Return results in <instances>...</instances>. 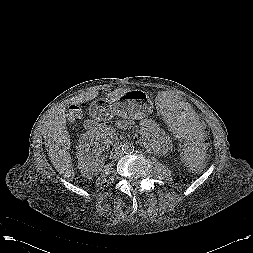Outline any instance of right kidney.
<instances>
[{"instance_id":"obj_1","label":"right kidney","mask_w":253,"mask_h":253,"mask_svg":"<svg viewBox=\"0 0 253 253\" xmlns=\"http://www.w3.org/2000/svg\"><path fill=\"white\" fill-rule=\"evenodd\" d=\"M109 140L99 129H90L81 134L76 147L78 168L81 174L91 179L97 175L104 165L105 152L109 148Z\"/></svg>"}]
</instances>
